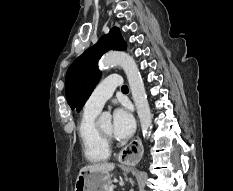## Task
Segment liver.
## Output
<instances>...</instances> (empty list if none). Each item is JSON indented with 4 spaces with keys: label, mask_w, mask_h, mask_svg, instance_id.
<instances>
[{
    "label": "liver",
    "mask_w": 233,
    "mask_h": 191,
    "mask_svg": "<svg viewBox=\"0 0 233 191\" xmlns=\"http://www.w3.org/2000/svg\"><path fill=\"white\" fill-rule=\"evenodd\" d=\"M115 168L113 163L103 162V163H96L92 165H88L83 167L80 171H91V172H110Z\"/></svg>",
    "instance_id": "liver-1"
}]
</instances>
